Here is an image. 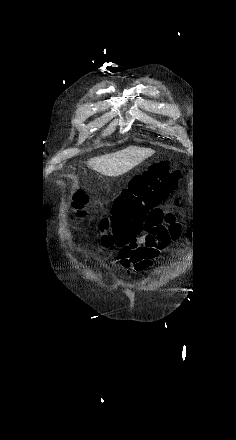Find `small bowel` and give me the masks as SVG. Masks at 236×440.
I'll list each match as a JSON object with an SVG mask.
<instances>
[{"label": "small bowel", "mask_w": 236, "mask_h": 440, "mask_svg": "<svg viewBox=\"0 0 236 440\" xmlns=\"http://www.w3.org/2000/svg\"><path fill=\"white\" fill-rule=\"evenodd\" d=\"M145 234L134 237L118 249V259L124 269L131 266L137 271H144L171 242L178 241L183 227L176 213L164 211L161 207L152 209L143 223Z\"/></svg>", "instance_id": "1"}]
</instances>
